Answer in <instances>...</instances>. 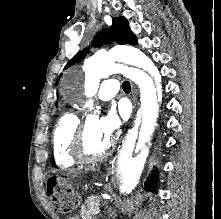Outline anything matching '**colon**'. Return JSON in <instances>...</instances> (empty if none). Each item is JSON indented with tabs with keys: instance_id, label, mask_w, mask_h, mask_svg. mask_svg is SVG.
<instances>
[{
	"instance_id": "1",
	"label": "colon",
	"mask_w": 221,
	"mask_h": 219,
	"mask_svg": "<svg viewBox=\"0 0 221 219\" xmlns=\"http://www.w3.org/2000/svg\"><path fill=\"white\" fill-rule=\"evenodd\" d=\"M50 196L56 198L58 195L62 194L63 192V184L59 181H51L48 185ZM67 204L72 205L71 197L67 198ZM72 208L67 209V212H70Z\"/></svg>"
}]
</instances>
